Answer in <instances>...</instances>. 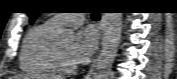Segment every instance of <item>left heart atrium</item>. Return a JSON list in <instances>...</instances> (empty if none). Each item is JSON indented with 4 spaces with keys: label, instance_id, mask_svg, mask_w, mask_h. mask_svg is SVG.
Listing matches in <instances>:
<instances>
[{
    "label": "left heart atrium",
    "instance_id": "39dd6f15",
    "mask_svg": "<svg viewBox=\"0 0 177 79\" xmlns=\"http://www.w3.org/2000/svg\"><path fill=\"white\" fill-rule=\"evenodd\" d=\"M97 46V34L93 29L78 31L70 50L73 63H83L89 59Z\"/></svg>",
    "mask_w": 177,
    "mask_h": 79
}]
</instances>
